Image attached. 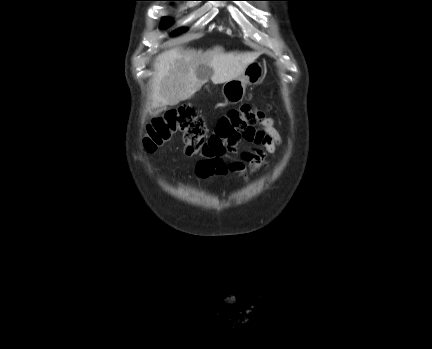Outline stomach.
Here are the masks:
<instances>
[{
    "instance_id": "1",
    "label": "stomach",
    "mask_w": 432,
    "mask_h": 349,
    "mask_svg": "<svg viewBox=\"0 0 432 349\" xmlns=\"http://www.w3.org/2000/svg\"><path fill=\"white\" fill-rule=\"evenodd\" d=\"M265 68L259 62H253L248 65L244 73L223 84L222 94L225 100L231 104L241 102L246 93L247 85L257 84L263 77Z\"/></svg>"
}]
</instances>
